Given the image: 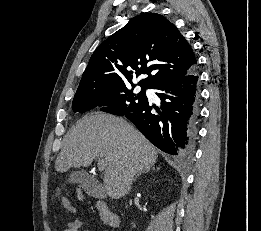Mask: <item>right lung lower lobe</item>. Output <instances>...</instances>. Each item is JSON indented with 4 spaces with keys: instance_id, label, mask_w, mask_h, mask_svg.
<instances>
[{
    "instance_id": "98d812e1",
    "label": "right lung lower lobe",
    "mask_w": 261,
    "mask_h": 231,
    "mask_svg": "<svg viewBox=\"0 0 261 231\" xmlns=\"http://www.w3.org/2000/svg\"><path fill=\"white\" fill-rule=\"evenodd\" d=\"M152 89L157 90L156 94L161 99V110L147 101L123 116L162 151L188 157L196 136L199 100L197 69H192L185 76L159 82Z\"/></svg>"
}]
</instances>
